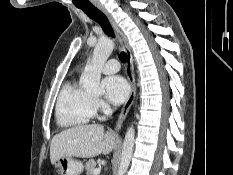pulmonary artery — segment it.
Wrapping results in <instances>:
<instances>
[{
    "label": "pulmonary artery",
    "instance_id": "obj_1",
    "mask_svg": "<svg viewBox=\"0 0 233 175\" xmlns=\"http://www.w3.org/2000/svg\"><path fill=\"white\" fill-rule=\"evenodd\" d=\"M119 69H120L119 62L116 59H110L104 64L102 70L105 74H113L119 71Z\"/></svg>",
    "mask_w": 233,
    "mask_h": 175
}]
</instances>
